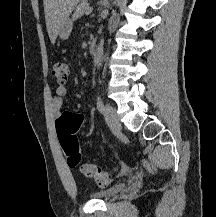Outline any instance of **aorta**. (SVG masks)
Here are the masks:
<instances>
[{"mask_svg": "<svg viewBox=\"0 0 216 217\" xmlns=\"http://www.w3.org/2000/svg\"><path fill=\"white\" fill-rule=\"evenodd\" d=\"M103 45H104V39H101L95 53V65L98 69H100V67L102 66V61L104 56Z\"/></svg>", "mask_w": 216, "mask_h": 217, "instance_id": "aorta-1", "label": "aorta"}]
</instances>
